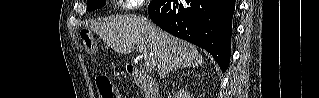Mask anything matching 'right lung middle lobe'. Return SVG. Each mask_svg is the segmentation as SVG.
<instances>
[{
  "instance_id": "right-lung-middle-lobe-1",
  "label": "right lung middle lobe",
  "mask_w": 319,
  "mask_h": 98,
  "mask_svg": "<svg viewBox=\"0 0 319 98\" xmlns=\"http://www.w3.org/2000/svg\"><path fill=\"white\" fill-rule=\"evenodd\" d=\"M105 6V0H88L87 10L92 11Z\"/></svg>"
}]
</instances>
